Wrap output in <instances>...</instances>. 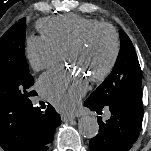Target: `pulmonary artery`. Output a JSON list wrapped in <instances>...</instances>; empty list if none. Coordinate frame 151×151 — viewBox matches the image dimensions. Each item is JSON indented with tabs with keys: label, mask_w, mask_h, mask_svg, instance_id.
Wrapping results in <instances>:
<instances>
[{
	"label": "pulmonary artery",
	"mask_w": 151,
	"mask_h": 151,
	"mask_svg": "<svg viewBox=\"0 0 151 151\" xmlns=\"http://www.w3.org/2000/svg\"><path fill=\"white\" fill-rule=\"evenodd\" d=\"M108 116H109V113L106 114V117H108Z\"/></svg>",
	"instance_id": "1"
}]
</instances>
